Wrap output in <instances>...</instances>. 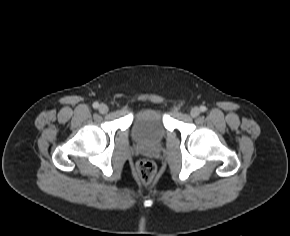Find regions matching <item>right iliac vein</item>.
Instances as JSON below:
<instances>
[{"label": "right iliac vein", "mask_w": 290, "mask_h": 236, "mask_svg": "<svg viewBox=\"0 0 290 236\" xmlns=\"http://www.w3.org/2000/svg\"><path fill=\"white\" fill-rule=\"evenodd\" d=\"M98 110H99V112H100L101 114H105V113L108 112L109 108H108V106H107L106 104H103V103H102V104L99 105Z\"/></svg>", "instance_id": "1"}]
</instances>
